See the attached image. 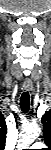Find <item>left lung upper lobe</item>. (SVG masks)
<instances>
[{
    "mask_svg": "<svg viewBox=\"0 0 51 150\" xmlns=\"http://www.w3.org/2000/svg\"><path fill=\"white\" fill-rule=\"evenodd\" d=\"M42 124L44 127V141L48 146H51V111L45 112L42 117Z\"/></svg>",
    "mask_w": 51,
    "mask_h": 150,
    "instance_id": "left-lung-upper-lobe-1",
    "label": "left lung upper lobe"
}]
</instances>
